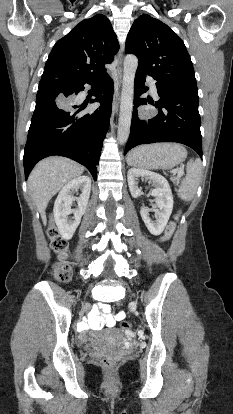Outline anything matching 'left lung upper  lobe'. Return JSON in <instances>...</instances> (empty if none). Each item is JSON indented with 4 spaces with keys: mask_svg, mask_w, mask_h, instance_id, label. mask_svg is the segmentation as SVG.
I'll use <instances>...</instances> for the list:
<instances>
[{
    "mask_svg": "<svg viewBox=\"0 0 233 414\" xmlns=\"http://www.w3.org/2000/svg\"><path fill=\"white\" fill-rule=\"evenodd\" d=\"M125 50L138 57L137 71L149 74L159 84L197 85L183 41L158 19L147 14L138 17L128 33Z\"/></svg>",
    "mask_w": 233,
    "mask_h": 414,
    "instance_id": "1",
    "label": "left lung upper lobe"
}]
</instances>
